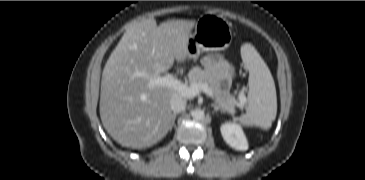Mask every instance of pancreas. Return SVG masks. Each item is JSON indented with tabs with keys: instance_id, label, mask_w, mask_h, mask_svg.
I'll use <instances>...</instances> for the list:
<instances>
[{
	"instance_id": "1",
	"label": "pancreas",
	"mask_w": 365,
	"mask_h": 180,
	"mask_svg": "<svg viewBox=\"0 0 365 180\" xmlns=\"http://www.w3.org/2000/svg\"><path fill=\"white\" fill-rule=\"evenodd\" d=\"M188 78L190 84L192 83H206L209 85V77L207 73L198 66L193 67L189 73ZM214 96L215 103L225 112L232 113L234 106L238 104L233 96L229 94L228 91H223L219 88L214 89L210 86Z\"/></svg>"
}]
</instances>
